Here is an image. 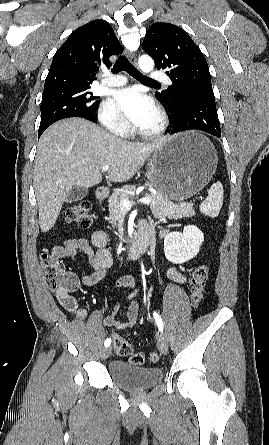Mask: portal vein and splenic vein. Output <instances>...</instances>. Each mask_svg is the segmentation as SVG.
<instances>
[{
    "mask_svg": "<svg viewBox=\"0 0 269 445\" xmlns=\"http://www.w3.org/2000/svg\"><path fill=\"white\" fill-rule=\"evenodd\" d=\"M108 170H109V165H104L102 167V171L103 172H106ZM152 201L153 200L151 198L144 197V198L140 199L138 202H140L142 204H150V203H152ZM133 204L134 203L130 202L128 199H122L121 200V206H122L123 209L129 210L132 207Z\"/></svg>",
    "mask_w": 269,
    "mask_h": 445,
    "instance_id": "18ae733b",
    "label": "portal vein and splenic vein"
}]
</instances>
